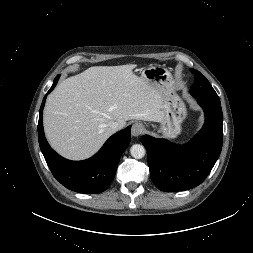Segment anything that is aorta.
I'll list each match as a JSON object with an SVG mask.
<instances>
[{
  "mask_svg": "<svg viewBox=\"0 0 253 253\" xmlns=\"http://www.w3.org/2000/svg\"><path fill=\"white\" fill-rule=\"evenodd\" d=\"M131 156L135 159H141L145 156V148L143 145L134 144L130 149Z\"/></svg>",
  "mask_w": 253,
  "mask_h": 253,
  "instance_id": "obj_1",
  "label": "aorta"
}]
</instances>
